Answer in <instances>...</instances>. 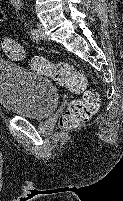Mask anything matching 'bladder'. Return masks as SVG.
Instances as JSON below:
<instances>
[{"instance_id": "31cf9c89", "label": "bladder", "mask_w": 123, "mask_h": 201, "mask_svg": "<svg viewBox=\"0 0 123 201\" xmlns=\"http://www.w3.org/2000/svg\"><path fill=\"white\" fill-rule=\"evenodd\" d=\"M59 91L45 76L29 72L9 60H0V107L33 120L48 118L57 107Z\"/></svg>"}]
</instances>
